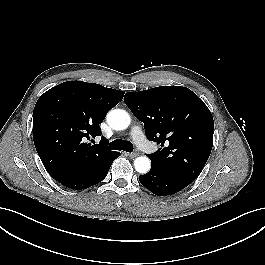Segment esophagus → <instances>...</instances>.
<instances>
[{
  "mask_svg": "<svg viewBox=\"0 0 265 265\" xmlns=\"http://www.w3.org/2000/svg\"><path fill=\"white\" fill-rule=\"evenodd\" d=\"M126 155L130 158H135L138 156V153L134 152V153H126Z\"/></svg>",
  "mask_w": 265,
  "mask_h": 265,
  "instance_id": "34e87169",
  "label": "esophagus"
}]
</instances>
